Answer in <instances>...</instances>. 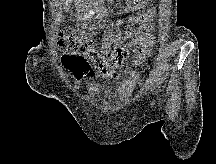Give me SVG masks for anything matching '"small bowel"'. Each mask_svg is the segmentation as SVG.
I'll list each match as a JSON object with an SVG mask.
<instances>
[{
  "mask_svg": "<svg viewBox=\"0 0 216 164\" xmlns=\"http://www.w3.org/2000/svg\"><path fill=\"white\" fill-rule=\"evenodd\" d=\"M154 15L155 9L152 8L126 20L117 21L115 26L127 24L129 29L124 34L111 31L105 35L101 43V52L106 57L97 56L94 47L86 52L88 55L101 60L105 78H113L116 69L124 64L140 65L152 54L155 38L152 34L151 20ZM136 25H139V28L134 32L132 28ZM130 48H135L131 56Z\"/></svg>",
  "mask_w": 216,
  "mask_h": 164,
  "instance_id": "small-bowel-1",
  "label": "small bowel"
}]
</instances>
